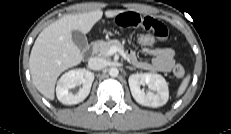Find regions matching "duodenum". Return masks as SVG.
<instances>
[{
  "label": "duodenum",
  "instance_id": "1",
  "mask_svg": "<svg viewBox=\"0 0 231 134\" xmlns=\"http://www.w3.org/2000/svg\"><path fill=\"white\" fill-rule=\"evenodd\" d=\"M97 43H98V42L95 41V42H93V43L91 44V46H90L91 50H94V49H95Z\"/></svg>",
  "mask_w": 231,
  "mask_h": 134
}]
</instances>
